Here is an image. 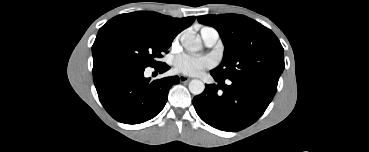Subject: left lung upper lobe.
<instances>
[{"label": "left lung upper lobe", "mask_w": 369, "mask_h": 152, "mask_svg": "<svg viewBox=\"0 0 369 152\" xmlns=\"http://www.w3.org/2000/svg\"><path fill=\"white\" fill-rule=\"evenodd\" d=\"M214 27L225 46L221 64L211 72L222 79L262 80L278 84L284 70L283 47L262 24L238 14L198 16Z\"/></svg>", "instance_id": "obj_1"}]
</instances>
